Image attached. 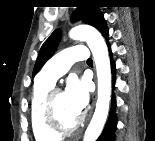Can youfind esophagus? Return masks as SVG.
Instances as JSON below:
<instances>
[{"label":"esophagus","instance_id":"34e87169","mask_svg":"<svg viewBox=\"0 0 155 141\" xmlns=\"http://www.w3.org/2000/svg\"><path fill=\"white\" fill-rule=\"evenodd\" d=\"M95 101H96V94L94 95V98H93V106L95 105Z\"/></svg>","mask_w":155,"mask_h":141}]
</instances>
